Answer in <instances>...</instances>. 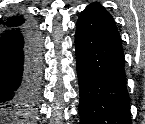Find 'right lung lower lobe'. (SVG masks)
Listing matches in <instances>:
<instances>
[{"label": "right lung lower lobe", "mask_w": 145, "mask_h": 124, "mask_svg": "<svg viewBox=\"0 0 145 124\" xmlns=\"http://www.w3.org/2000/svg\"><path fill=\"white\" fill-rule=\"evenodd\" d=\"M40 56V37L33 26L1 29L0 120L18 124L34 114Z\"/></svg>", "instance_id": "obj_1"}]
</instances>
